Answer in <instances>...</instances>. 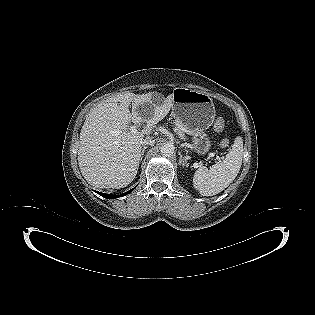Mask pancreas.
<instances>
[{
    "label": "pancreas",
    "instance_id": "obj_1",
    "mask_svg": "<svg viewBox=\"0 0 315 315\" xmlns=\"http://www.w3.org/2000/svg\"><path fill=\"white\" fill-rule=\"evenodd\" d=\"M179 133H183L186 130V127L179 121H176Z\"/></svg>",
    "mask_w": 315,
    "mask_h": 315
}]
</instances>
